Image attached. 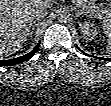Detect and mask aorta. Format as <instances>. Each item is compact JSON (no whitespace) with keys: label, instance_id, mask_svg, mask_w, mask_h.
Masks as SVG:
<instances>
[{"label":"aorta","instance_id":"obj_1","mask_svg":"<svg viewBox=\"0 0 111 106\" xmlns=\"http://www.w3.org/2000/svg\"><path fill=\"white\" fill-rule=\"evenodd\" d=\"M58 19H59V20H65V19H66V12H64V11H59V12H58Z\"/></svg>","mask_w":111,"mask_h":106}]
</instances>
